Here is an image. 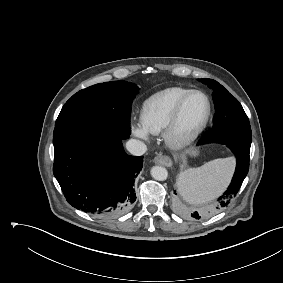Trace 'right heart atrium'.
Wrapping results in <instances>:
<instances>
[{"mask_svg": "<svg viewBox=\"0 0 283 283\" xmlns=\"http://www.w3.org/2000/svg\"><path fill=\"white\" fill-rule=\"evenodd\" d=\"M130 129L132 134L140 140L144 142H147L149 140V133L144 129L141 123H131Z\"/></svg>", "mask_w": 283, "mask_h": 283, "instance_id": "d8ad5b80", "label": "right heart atrium"}]
</instances>
